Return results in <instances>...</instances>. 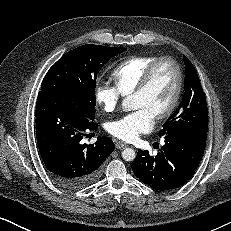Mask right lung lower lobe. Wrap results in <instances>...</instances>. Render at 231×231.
<instances>
[{"label": "right lung lower lobe", "mask_w": 231, "mask_h": 231, "mask_svg": "<svg viewBox=\"0 0 231 231\" xmlns=\"http://www.w3.org/2000/svg\"><path fill=\"white\" fill-rule=\"evenodd\" d=\"M35 117L39 152L51 178L68 190L94 183L115 148L112 140L102 136L95 144H82L84 133L97 130V124L52 93L39 92Z\"/></svg>", "instance_id": "right-lung-lower-lobe-1"}]
</instances>
